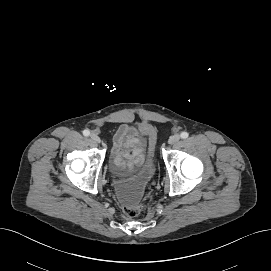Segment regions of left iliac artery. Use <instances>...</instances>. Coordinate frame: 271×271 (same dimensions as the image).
Instances as JSON below:
<instances>
[{
	"label": "left iliac artery",
	"mask_w": 271,
	"mask_h": 271,
	"mask_svg": "<svg viewBox=\"0 0 271 271\" xmlns=\"http://www.w3.org/2000/svg\"><path fill=\"white\" fill-rule=\"evenodd\" d=\"M180 136H181L182 139H186V138H188L189 134L187 132H182L180 134Z\"/></svg>",
	"instance_id": "obj_1"
}]
</instances>
